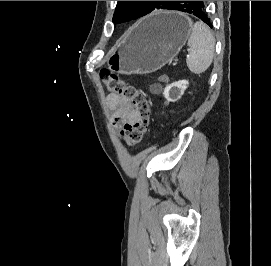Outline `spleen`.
Wrapping results in <instances>:
<instances>
[{
    "label": "spleen",
    "mask_w": 271,
    "mask_h": 266,
    "mask_svg": "<svg viewBox=\"0 0 271 266\" xmlns=\"http://www.w3.org/2000/svg\"><path fill=\"white\" fill-rule=\"evenodd\" d=\"M187 44L190 48L187 67L194 74L204 73L212 64L215 48V38L209 27L201 21L194 23Z\"/></svg>",
    "instance_id": "1"
}]
</instances>
